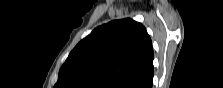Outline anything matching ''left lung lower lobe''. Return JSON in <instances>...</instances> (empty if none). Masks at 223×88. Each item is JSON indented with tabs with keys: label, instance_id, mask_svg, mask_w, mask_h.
<instances>
[{
	"label": "left lung lower lobe",
	"instance_id": "0a47b994",
	"mask_svg": "<svg viewBox=\"0 0 223 88\" xmlns=\"http://www.w3.org/2000/svg\"><path fill=\"white\" fill-rule=\"evenodd\" d=\"M154 70L140 80L133 88H152Z\"/></svg>",
	"mask_w": 223,
	"mask_h": 88
}]
</instances>
